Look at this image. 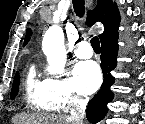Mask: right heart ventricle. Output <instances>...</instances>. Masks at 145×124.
<instances>
[{"label": "right heart ventricle", "instance_id": "e07e8e85", "mask_svg": "<svg viewBox=\"0 0 145 124\" xmlns=\"http://www.w3.org/2000/svg\"><path fill=\"white\" fill-rule=\"evenodd\" d=\"M25 100L29 107L42 111L57 110L49 98L45 81L36 78L35 71L30 68L25 78Z\"/></svg>", "mask_w": 145, "mask_h": 124}]
</instances>
